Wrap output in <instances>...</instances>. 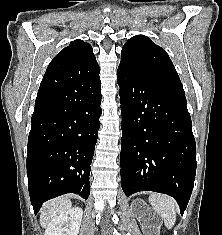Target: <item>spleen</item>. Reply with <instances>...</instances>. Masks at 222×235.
I'll return each instance as SVG.
<instances>
[{
	"mask_svg": "<svg viewBox=\"0 0 222 235\" xmlns=\"http://www.w3.org/2000/svg\"><path fill=\"white\" fill-rule=\"evenodd\" d=\"M149 202L164 220L165 226L171 229L176 222V214L179 210L177 202L170 196L156 193L150 195Z\"/></svg>",
	"mask_w": 222,
	"mask_h": 235,
	"instance_id": "spleen-1",
	"label": "spleen"
}]
</instances>
